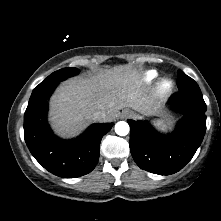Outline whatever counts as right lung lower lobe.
<instances>
[{
	"label": "right lung lower lobe",
	"instance_id": "1",
	"mask_svg": "<svg viewBox=\"0 0 221 221\" xmlns=\"http://www.w3.org/2000/svg\"><path fill=\"white\" fill-rule=\"evenodd\" d=\"M57 85L33 90L24 114V138L31 154L45 169L59 177L76 178L95 168L101 139L113 123L93 124L74 140L56 137L46 116L48 99Z\"/></svg>",
	"mask_w": 221,
	"mask_h": 221
}]
</instances>
